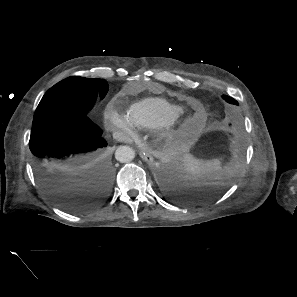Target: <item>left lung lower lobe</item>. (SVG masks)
<instances>
[{"instance_id":"1","label":"left lung lower lobe","mask_w":297,"mask_h":297,"mask_svg":"<svg viewBox=\"0 0 297 297\" xmlns=\"http://www.w3.org/2000/svg\"><path fill=\"white\" fill-rule=\"evenodd\" d=\"M165 187L177 199H211L219 196L225 186L222 184L196 185L182 172L179 165H167L161 169Z\"/></svg>"}]
</instances>
